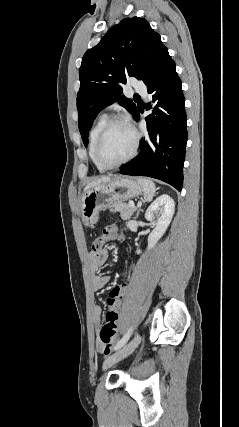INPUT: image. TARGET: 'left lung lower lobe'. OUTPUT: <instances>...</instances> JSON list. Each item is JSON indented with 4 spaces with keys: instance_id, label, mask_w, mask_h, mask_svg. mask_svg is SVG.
I'll return each mask as SVG.
<instances>
[{
    "instance_id": "1",
    "label": "left lung lower lobe",
    "mask_w": 239,
    "mask_h": 427,
    "mask_svg": "<svg viewBox=\"0 0 239 427\" xmlns=\"http://www.w3.org/2000/svg\"><path fill=\"white\" fill-rule=\"evenodd\" d=\"M152 109L146 117L148 135L141 141L139 155L124 164L119 173L149 176L182 190L183 164L187 143V119L181 80L171 61L147 85ZM139 120V111L134 116Z\"/></svg>"
}]
</instances>
